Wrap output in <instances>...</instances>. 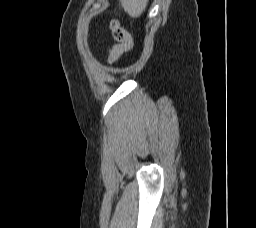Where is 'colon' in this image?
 <instances>
[{"label":"colon","instance_id":"1","mask_svg":"<svg viewBox=\"0 0 256 228\" xmlns=\"http://www.w3.org/2000/svg\"><path fill=\"white\" fill-rule=\"evenodd\" d=\"M110 29L114 40L117 42L115 44L108 56L109 64L115 63L124 53L128 52L133 47V38L130 33L122 26L120 20L112 19L110 22Z\"/></svg>","mask_w":256,"mask_h":228}]
</instances>
